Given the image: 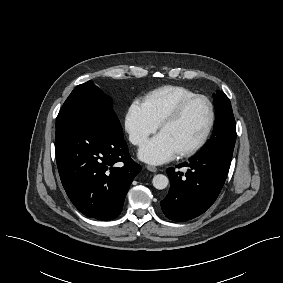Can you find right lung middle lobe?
Returning <instances> with one entry per match:
<instances>
[{"label":"right lung middle lobe","mask_w":283,"mask_h":283,"mask_svg":"<svg viewBox=\"0 0 283 283\" xmlns=\"http://www.w3.org/2000/svg\"><path fill=\"white\" fill-rule=\"evenodd\" d=\"M90 115H111L119 122L112 109V100L92 81L74 88L57 116L56 128L77 118Z\"/></svg>","instance_id":"1"}]
</instances>
